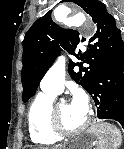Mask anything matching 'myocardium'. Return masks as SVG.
<instances>
[{"instance_id": "f54148a6", "label": "myocardium", "mask_w": 124, "mask_h": 149, "mask_svg": "<svg viewBox=\"0 0 124 149\" xmlns=\"http://www.w3.org/2000/svg\"><path fill=\"white\" fill-rule=\"evenodd\" d=\"M58 104L59 103L52 105L50 109V124L54 133H56L60 137H70L78 135L87 129L91 122L90 115L86 117L85 121L81 126L74 129L66 128L62 123V119L58 109Z\"/></svg>"}]
</instances>
